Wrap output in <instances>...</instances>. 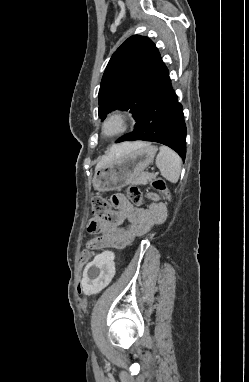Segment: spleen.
I'll return each mask as SVG.
<instances>
[{
	"label": "spleen",
	"mask_w": 249,
	"mask_h": 382,
	"mask_svg": "<svg viewBox=\"0 0 249 382\" xmlns=\"http://www.w3.org/2000/svg\"><path fill=\"white\" fill-rule=\"evenodd\" d=\"M156 166L160 170L162 176L168 181L176 183L179 180L181 158L169 147H159V153L156 157Z\"/></svg>",
	"instance_id": "obj_1"
}]
</instances>
